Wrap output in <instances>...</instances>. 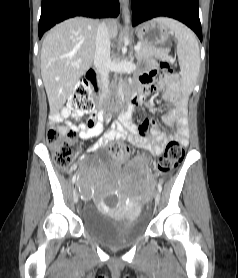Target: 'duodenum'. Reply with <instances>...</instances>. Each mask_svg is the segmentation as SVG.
<instances>
[{
	"label": "duodenum",
	"instance_id": "obj_1",
	"mask_svg": "<svg viewBox=\"0 0 238 278\" xmlns=\"http://www.w3.org/2000/svg\"><path fill=\"white\" fill-rule=\"evenodd\" d=\"M86 77L88 81L94 86L95 91L98 94L99 104L101 106H107L114 102V97L106 95L101 91L97 81V72L94 69L89 70ZM137 105V95L133 90L127 91L125 97L117 103V106L123 108L125 112H133Z\"/></svg>",
	"mask_w": 238,
	"mask_h": 278
}]
</instances>
